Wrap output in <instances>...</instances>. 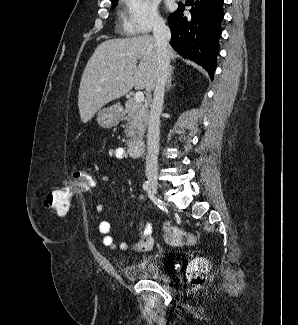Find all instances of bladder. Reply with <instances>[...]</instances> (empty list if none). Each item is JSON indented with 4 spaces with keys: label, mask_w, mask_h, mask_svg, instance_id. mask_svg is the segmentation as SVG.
<instances>
[{
    "label": "bladder",
    "mask_w": 298,
    "mask_h": 325,
    "mask_svg": "<svg viewBox=\"0 0 298 325\" xmlns=\"http://www.w3.org/2000/svg\"><path fill=\"white\" fill-rule=\"evenodd\" d=\"M122 275L130 281L150 280L165 282L167 276L162 270L160 257L148 255L121 268Z\"/></svg>",
    "instance_id": "31cf9c89"
}]
</instances>
